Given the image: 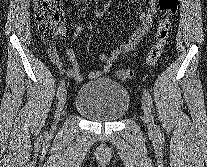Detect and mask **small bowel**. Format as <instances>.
I'll list each match as a JSON object with an SVG mask.
<instances>
[{
  "label": "small bowel",
  "mask_w": 207,
  "mask_h": 167,
  "mask_svg": "<svg viewBox=\"0 0 207 167\" xmlns=\"http://www.w3.org/2000/svg\"><path fill=\"white\" fill-rule=\"evenodd\" d=\"M77 10L81 16H85V12L80 8L81 0H73ZM158 0H148L147 10L144 12L138 13V18L140 20L139 27L127 38V40L120 46L113 48L109 54H101L99 56L100 61L102 62V67L98 70H94L84 75L80 72V63L71 50L66 51L67 57L71 60L73 67L71 69L64 68L62 62L60 61L59 55L56 52L55 48L49 49V56L51 60L59 67V69L65 73L68 77L74 79L77 82H85L89 80L97 79L110 72L114 62L119 58L123 53L131 51L147 34L149 29L152 26L153 17L156 13ZM72 41L76 38L78 33L81 31V27L76 25L73 29ZM65 34L64 26L61 27L60 35L61 37Z\"/></svg>",
  "instance_id": "c3829d8e"
}]
</instances>
